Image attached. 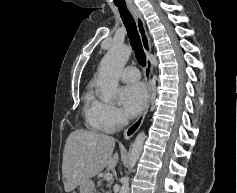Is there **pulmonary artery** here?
Returning a JSON list of instances; mask_svg holds the SVG:
<instances>
[{"label": "pulmonary artery", "mask_w": 237, "mask_h": 193, "mask_svg": "<svg viewBox=\"0 0 237 193\" xmlns=\"http://www.w3.org/2000/svg\"><path fill=\"white\" fill-rule=\"evenodd\" d=\"M120 78L128 84H133L140 79V72L134 66H127L122 70Z\"/></svg>", "instance_id": "e3ab8cb5"}]
</instances>
